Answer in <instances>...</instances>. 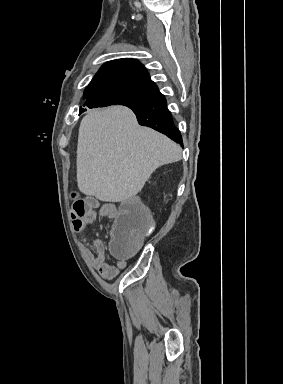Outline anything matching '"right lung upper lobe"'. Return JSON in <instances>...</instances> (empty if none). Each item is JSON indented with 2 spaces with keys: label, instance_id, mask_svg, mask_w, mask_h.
I'll use <instances>...</instances> for the list:
<instances>
[{
  "label": "right lung upper lobe",
  "instance_id": "cb5924a9",
  "mask_svg": "<svg viewBox=\"0 0 283 384\" xmlns=\"http://www.w3.org/2000/svg\"><path fill=\"white\" fill-rule=\"evenodd\" d=\"M99 85H121L158 92L145 67L134 59H117L105 63L88 87Z\"/></svg>",
  "mask_w": 283,
  "mask_h": 384
}]
</instances>
